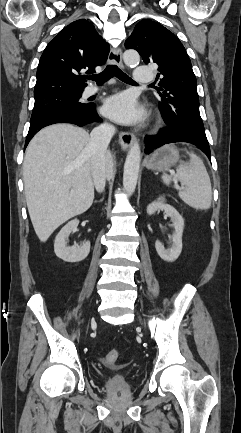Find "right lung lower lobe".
Listing matches in <instances>:
<instances>
[{
	"instance_id": "right-lung-lower-lobe-1",
	"label": "right lung lower lobe",
	"mask_w": 241,
	"mask_h": 433,
	"mask_svg": "<svg viewBox=\"0 0 241 433\" xmlns=\"http://www.w3.org/2000/svg\"><path fill=\"white\" fill-rule=\"evenodd\" d=\"M95 121H101V119L95 110L94 103L50 111L37 119L30 121V128L26 137L25 148L32 137L45 126L55 123H72L78 126H83Z\"/></svg>"
}]
</instances>
